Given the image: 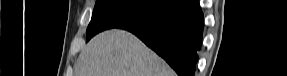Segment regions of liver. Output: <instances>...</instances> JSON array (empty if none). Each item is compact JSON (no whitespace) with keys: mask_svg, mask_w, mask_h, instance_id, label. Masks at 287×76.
Listing matches in <instances>:
<instances>
[{"mask_svg":"<svg viewBox=\"0 0 287 76\" xmlns=\"http://www.w3.org/2000/svg\"><path fill=\"white\" fill-rule=\"evenodd\" d=\"M76 76H175L156 53L133 34L113 29L98 34L81 51Z\"/></svg>","mask_w":287,"mask_h":76,"instance_id":"liver-1","label":"liver"}]
</instances>
